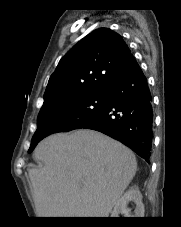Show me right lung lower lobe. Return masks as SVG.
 Segmentation results:
<instances>
[{"instance_id": "1", "label": "right lung lower lobe", "mask_w": 181, "mask_h": 227, "mask_svg": "<svg viewBox=\"0 0 181 227\" xmlns=\"http://www.w3.org/2000/svg\"><path fill=\"white\" fill-rule=\"evenodd\" d=\"M104 109L83 128L102 132L131 148L149 162L153 138L152 97L137 64L114 80Z\"/></svg>"}]
</instances>
